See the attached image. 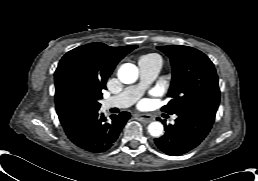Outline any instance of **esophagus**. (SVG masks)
Listing matches in <instances>:
<instances>
[{
  "label": "esophagus",
  "mask_w": 258,
  "mask_h": 181,
  "mask_svg": "<svg viewBox=\"0 0 258 181\" xmlns=\"http://www.w3.org/2000/svg\"><path fill=\"white\" fill-rule=\"evenodd\" d=\"M138 118L144 123H149L153 120L152 116L149 114H139Z\"/></svg>",
  "instance_id": "34e87169"
}]
</instances>
